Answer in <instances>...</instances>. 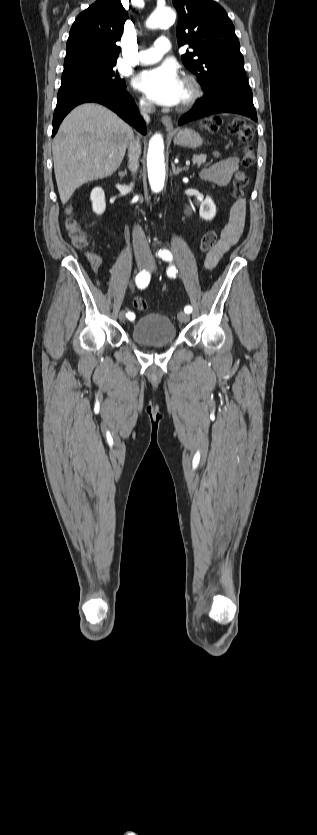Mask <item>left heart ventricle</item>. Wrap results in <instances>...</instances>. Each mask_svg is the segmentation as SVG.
I'll return each mask as SVG.
<instances>
[{
	"mask_svg": "<svg viewBox=\"0 0 317 835\" xmlns=\"http://www.w3.org/2000/svg\"><path fill=\"white\" fill-rule=\"evenodd\" d=\"M185 96H186V88H185V86H184V84H183V89H182V94H181V99H180V102L184 99V97H185Z\"/></svg>",
	"mask_w": 317,
	"mask_h": 835,
	"instance_id": "obj_1",
	"label": "left heart ventricle"
}]
</instances>
